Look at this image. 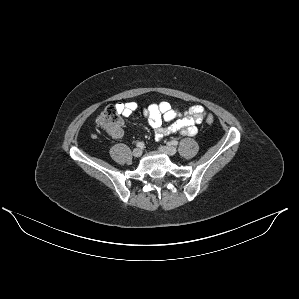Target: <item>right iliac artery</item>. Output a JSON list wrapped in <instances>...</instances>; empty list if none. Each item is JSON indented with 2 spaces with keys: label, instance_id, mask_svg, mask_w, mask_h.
<instances>
[{
  "label": "right iliac artery",
  "instance_id": "obj_1",
  "mask_svg": "<svg viewBox=\"0 0 299 299\" xmlns=\"http://www.w3.org/2000/svg\"><path fill=\"white\" fill-rule=\"evenodd\" d=\"M136 146L142 148V147H144V143H143V142H138V143L136 144Z\"/></svg>",
  "mask_w": 299,
  "mask_h": 299
}]
</instances>
